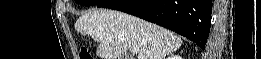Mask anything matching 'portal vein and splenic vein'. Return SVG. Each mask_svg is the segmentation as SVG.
<instances>
[{
	"mask_svg": "<svg viewBox=\"0 0 261 59\" xmlns=\"http://www.w3.org/2000/svg\"><path fill=\"white\" fill-rule=\"evenodd\" d=\"M138 51H139V49L138 48H132V52L134 53V54H137L138 53Z\"/></svg>",
	"mask_w": 261,
	"mask_h": 59,
	"instance_id": "obj_1",
	"label": "portal vein and splenic vein"
}]
</instances>
